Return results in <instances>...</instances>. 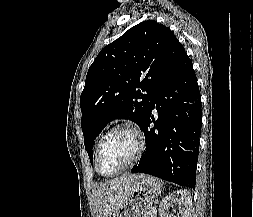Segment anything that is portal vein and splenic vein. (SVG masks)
I'll list each match as a JSON object with an SVG mask.
<instances>
[{"label":"portal vein and splenic vein","mask_w":253,"mask_h":217,"mask_svg":"<svg viewBox=\"0 0 253 217\" xmlns=\"http://www.w3.org/2000/svg\"><path fill=\"white\" fill-rule=\"evenodd\" d=\"M151 210H152V212L156 213V209L155 208H152Z\"/></svg>","instance_id":"portal-vein-and-splenic-vein-1"}]
</instances>
